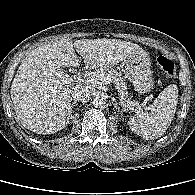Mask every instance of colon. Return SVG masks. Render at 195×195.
Here are the masks:
<instances>
[{
  "label": "colon",
  "instance_id": "colon-1",
  "mask_svg": "<svg viewBox=\"0 0 195 195\" xmlns=\"http://www.w3.org/2000/svg\"><path fill=\"white\" fill-rule=\"evenodd\" d=\"M156 65L167 77H174L176 71V63L171 57L164 55L158 56L156 59Z\"/></svg>",
  "mask_w": 195,
  "mask_h": 195
}]
</instances>
